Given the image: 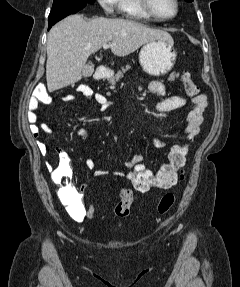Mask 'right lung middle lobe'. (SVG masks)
Returning <instances> with one entry per match:
<instances>
[{"instance_id":"1","label":"right lung middle lobe","mask_w":240,"mask_h":287,"mask_svg":"<svg viewBox=\"0 0 240 287\" xmlns=\"http://www.w3.org/2000/svg\"><path fill=\"white\" fill-rule=\"evenodd\" d=\"M95 0H54L48 21L70 14L77 13L87 4H93Z\"/></svg>"}]
</instances>
